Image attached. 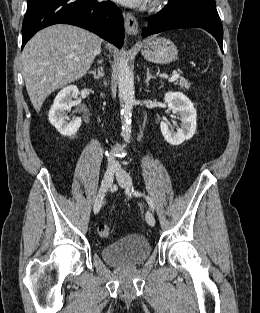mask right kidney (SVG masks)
I'll return each instance as SVG.
<instances>
[{"label": "right kidney", "instance_id": "right-kidney-1", "mask_svg": "<svg viewBox=\"0 0 260 313\" xmlns=\"http://www.w3.org/2000/svg\"><path fill=\"white\" fill-rule=\"evenodd\" d=\"M79 94L78 88L74 85L63 88L55 97L54 103L49 111V121L63 136H73L81 126V117L73 121L67 116V111L74 106L73 101Z\"/></svg>", "mask_w": 260, "mask_h": 313}]
</instances>
